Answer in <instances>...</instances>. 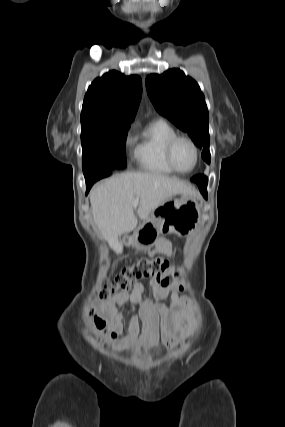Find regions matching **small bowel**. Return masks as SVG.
Masks as SVG:
<instances>
[{
	"instance_id": "small-bowel-1",
	"label": "small bowel",
	"mask_w": 285,
	"mask_h": 427,
	"mask_svg": "<svg viewBox=\"0 0 285 427\" xmlns=\"http://www.w3.org/2000/svg\"><path fill=\"white\" fill-rule=\"evenodd\" d=\"M172 243L166 238H160L157 241L155 253L172 255ZM148 284L153 291V297L156 300L171 298L173 301L171 310L164 308L161 304H156L150 299H142V293ZM187 302L184 295L172 291L169 288L162 287L155 280L147 282L137 281L132 287L130 293H120L115 299L104 303L95 301L94 308L106 321L108 327L114 335L123 331V315L120 307L125 303H131L138 306V316L130 318L129 335L127 336L123 348L133 347L138 352L144 354L149 349L156 346L163 334L171 348L177 344V330L175 327V316ZM142 322V330L139 333L138 323Z\"/></svg>"
}]
</instances>
